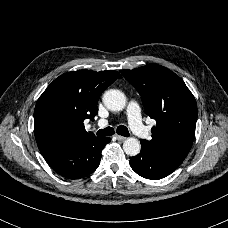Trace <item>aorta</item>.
I'll return each mask as SVG.
<instances>
[{"mask_svg": "<svg viewBox=\"0 0 228 228\" xmlns=\"http://www.w3.org/2000/svg\"><path fill=\"white\" fill-rule=\"evenodd\" d=\"M102 101L110 111H121L126 106V97L123 92L110 89L103 95ZM141 144L136 138H127L123 143V150L129 156L140 153Z\"/></svg>", "mask_w": 228, "mask_h": 228, "instance_id": "1", "label": "aorta"}]
</instances>
